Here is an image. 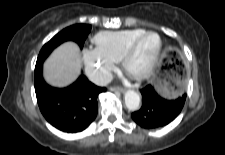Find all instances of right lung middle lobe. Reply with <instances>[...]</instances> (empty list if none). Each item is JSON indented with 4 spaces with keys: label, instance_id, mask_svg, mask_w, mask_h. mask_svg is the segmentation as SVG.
Returning a JSON list of instances; mask_svg holds the SVG:
<instances>
[{
    "label": "right lung middle lobe",
    "instance_id": "right-lung-middle-lobe-1",
    "mask_svg": "<svg viewBox=\"0 0 225 155\" xmlns=\"http://www.w3.org/2000/svg\"><path fill=\"white\" fill-rule=\"evenodd\" d=\"M90 31L91 26L85 24H77L65 28L43 46L39 53L36 64H42L43 61L47 58V56L51 53V51L65 41H75L79 44L80 48H82L85 39L87 38Z\"/></svg>",
    "mask_w": 225,
    "mask_h": 155
}]
</instances>
